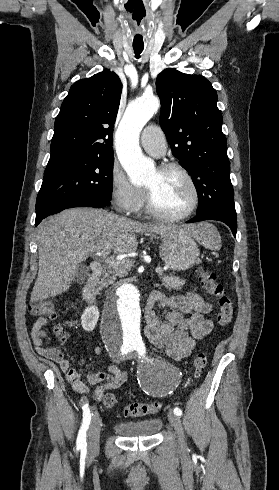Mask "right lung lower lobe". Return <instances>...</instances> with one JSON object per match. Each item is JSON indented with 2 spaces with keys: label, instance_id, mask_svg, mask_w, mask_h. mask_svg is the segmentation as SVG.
<instances>
[{
  "label": "right lung lower lobe",
  "instance_id": "98d812e1",
  "mask_svg": "<svg viewBox=\"0 0 279 490\" xmlns=\"http://www.w3.org/2000/svg\"><path fill=\"white\" fill-rule=\"evenodd\" d=\"M105 206H107L105 203L86 196H76V197H68L64 199L51 200L44 205V209L40 213H36L35 225L37 226L42 221V219L46 218L47 216L58 213L67 208H72V207L102 208Z\"/></svg>",
  "mask_w": 279,
  "mask_h": 490
}]
</instances>
